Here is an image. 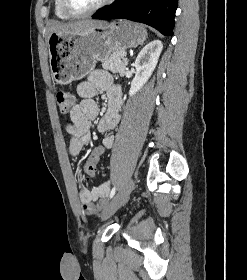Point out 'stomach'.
Here are the masks:
<instances>
[{"mask_svg":"<svg viewBox=\"0 0 247 280\" xmlns=\"http://www.w3.org/2000/svg\"><path fill=\"white\" fill-rule=\"evenodd\" d=\"M146 36L142 25L126 20L103 23L80 34L51 33L48 48L52 76L62 85L79 80L93 70L97 61L138 46Z\"/></svg>","mask_w":247,"mask_h":280,"instance_id":"stomach-1","label":"stomach"}]
</instances>
